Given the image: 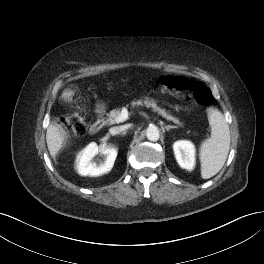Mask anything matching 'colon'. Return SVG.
Segmentation results:
<instances>
[{"instance_id": "1", "label": "colon", "mask_w": 264, "mask_h": 264, "mask_svg": "<svg viewBox=\"0 0 264 264\" xmlns=\"http://www.w3.org/2000/svg\"><path fill=\"white\" fill-rule=\"evenodd\" d=\"M163 87L187 101H195L203 107H209L213 97L210 89L200 82L181 76H164L160 79ZM64 102L73 104L76 112L62 119V126L68 135H82L89 124L83 108V102L74 87L67 88L62 95Z\"/></svg>"}]
</instances>
